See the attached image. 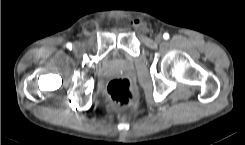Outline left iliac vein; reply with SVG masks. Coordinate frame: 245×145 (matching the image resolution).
Returning <instances> with one entry per match:
<instances>
[{"label": "left iliac vein", "mask_w": 245, "mask_h": 145, "mask_svg": "<svg viewBox=\"0 0 245 145\" xmlns=\"http://www.w3.org/2000/svg\"><path fill=\"white\" fill-rule=\"evenodd\" d=\"M161 40H162V35H157V36L155 37V41H156V42H161Z\"/></svg>", "instance_id": "left-iliac-vein-1"}]
</instances>
